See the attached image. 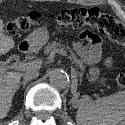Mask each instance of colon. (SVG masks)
I'll use <instances>...</instances> for the list:
<instances>
[{
  "label": "colon",
  "instance_id": "1",
  "mask_svg": "<svg viewBox=\"0 0 125 125\" xmlns=\"http://www.w3.org/2000/svg\"><path fill=\"white\" fill-rule=\"evenodd\" d=\"M48 19L55 21L59 26H69L74 29L94 28L105 33L110 39L125 47V25L117 21L109 13L99 8H72L64 9L59 14H50ZM34 25V19L28 16H18L5 23V29L10 34L26 32ZM98 37L85 30L81 38L88 40ZM117 83L125 87V69L121 70L117 76Z\"/></svg>",
  "mask_w": 125,
  "mask_h": 125
}]
</instances>
